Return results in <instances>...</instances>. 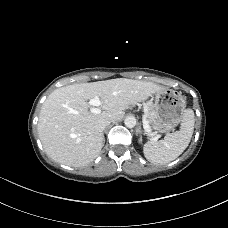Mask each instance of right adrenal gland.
I'll return each instance as SVG.
<instances>
[{"instance_id": "2a0ac1e0", "label": "right adrenal gland", "mask_w": 228, "mask_h": 228, "mask_svg": "<svg viewBox=\"0 0 228 228\" xmlns=\"http://www.w3.org/2000/svg\"><path fill=\"white\" fill-rule=\"evenodd\" d=\"M102 137H103V143H105V138H104V134L102 133Z\"/></svg>"}]
</instances>
